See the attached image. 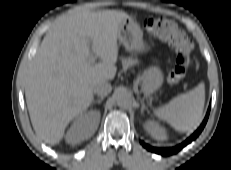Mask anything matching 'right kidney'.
Returning <instances> with one entry per match:
<instances>
[{
    "mask_svg": "<svg viewBox=\"0 0 231 170\" xmlns=\"http://www.w3.org/2000/svg\"><path fill=\"white\" fill-rule=\"evenodd\" d=\"M100 120L99 111H89L77 116L66 134V142L69 144H78L88 139L96 131Z\"/></svg>",
    "mask_w": 231,
    "mask_h": 170,
    "instance_id": "obj_1",
    "label": "right kidney"
}]
</instances>
